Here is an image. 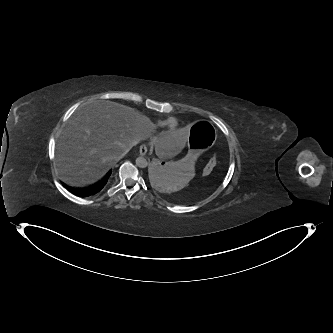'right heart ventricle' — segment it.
I'll list each match as a JSON object with an SVG mask.
<instances>
[{"mask_svg": "<svg viewBox=\"0 0 333 333\" xmlns=\"http://www.w3.org/2000/svg\"><path fill=\"white\" fill-rule=\"evenodd\" d=\"M169 119H172V123L174 126H178V121L175 119V118H168V119H165V120H156L155 123H154V126L156 128H163L166 126L167 122Z\"/></svg>", "mask_w": 333, "mask_h": 333, "instance_id": "1", "label": "right heart ventricle"}]
</instances>
